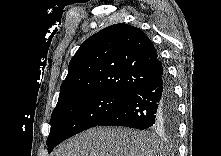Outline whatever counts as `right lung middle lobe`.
<instances>
[{"instance_id": "right-lung-middle-lobe-1", "label": "right lung middle lobe", "mask_w": 221, "mask_h": 156, "mask_svg": "<svg viewBox=\"0 0 221 156\" xmlns=\"http://www.w3.org/2000/svg\"><path fill=\"white\" fill-rule=\"evenodd\" d=\"M129 97L121 93L98 92L57 104L51 115V130L46 142L48 152L65 139L97 126Z\"/></svg>"}]
</instances>
